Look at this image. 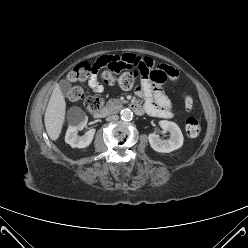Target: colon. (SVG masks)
Returning <instances> with one entry per match:
<instances>
[{
	"mask_svg": "<svg viewBox=\"0 0 248 248\" xmlns=\"http://www.w3.org/2000/svg\"><path fill=\"white\" fill-rule=\"evenodd\" d=\"M98 76L105 84H118L123 89H130L134 83L139 79H151L154 82H163L165 78L157 79L154 73H147L142 71H127L121 74L109 66H105L96 62L94 64L82 63L73 68L68 74L69 81L75 83L85 81L91 76ZM68 99L71 102L83 100L84 105L88 112L96 113L102 107V100L96 96L87 94L81 87H73L69 94ZM185 109L190 110L193 107V99L190 94L184 93L182 96ZM185 129L190 137L198 136L201 131V123L197 118L190 117L186 120Z\"/></svg>",
	"mask_w": 248,
	"mask_h": 248,
	"instance_id": "5ec220e1",
	"label": "colon"
}]
</instances>
